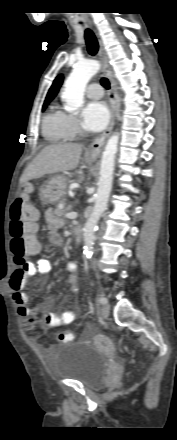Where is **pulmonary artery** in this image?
<instances>
[{
    "label": "pulmonary artery",
    "instance_id": "pulmonary-artery-1",
    "mask_svg": "<svg viewBox=\"0 0 177 440\" xmlns=\"http://www.w3.org/2000/svg\"><path fill=\"white\" fill-rule=\"evenodd\" d=\"M86 94L91 99H99L103 96V88L98 83H92L88 86Z\"/></svg>",
    "mask_w": 177,
    "mask_h": 440
}]
</instances>
